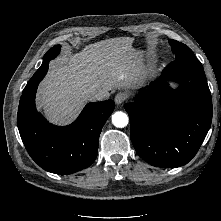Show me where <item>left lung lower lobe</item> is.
I'll return each instance as SVG.
<instances>
[{"mask_svg": "<svg viewBox=\"0 0 221 221\" xmlns=\"http://www.w3.org/2000/svg\"><path fill=\"white\" fill-rule=\"evenodd\" d=\"M161 78L124 107L137 154L153 166L175 168L195 156L209 131L211 94L203 66L195 56L174 60ZM167 80L180 83L179 88H168Z\"/></svg>", "mask_w": 221, "mask_h": 221, "instance_id": "obj_1", "label": "left lung lower lobe"}]
</instances>
